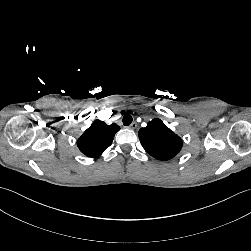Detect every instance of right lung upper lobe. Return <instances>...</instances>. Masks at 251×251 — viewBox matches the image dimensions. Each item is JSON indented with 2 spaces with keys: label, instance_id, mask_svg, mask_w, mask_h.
<instances>
[{
  "label": "right lung upper lobe",
  "instance_id": "right-lung-upper-lobe-1",
  "mask_svg": "<svg viewBox=\"0 0 251 251\" xmlns=\"http://www.w3.org/2000/svg\"><path fill=\"white\" fill-rule=\"evenodd\" d=\"M119 130L120 127L115 123L107 125L95 120L77 140V146L87 157H97L112 144L114 135Z\"/></svg>",
  "mask_w": 251,
  "mask_h": 251
}]
</instances>
